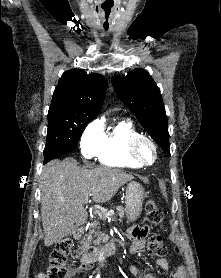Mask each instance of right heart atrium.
<instances>
[{
  "label": "right heart atrium",
  "instance_id": "obj_1",
  "mask_svg": "<svg viewBox=\"0 0 221 278\" xmlns=\"http://www.w3.org/2000/svg\"><path fill=\"white\" fill-rule=\"evenodd\" d=\"M103 134V125L98 119L85 127L80 138V150L85 159H91L96 156L103 139Z\"/></svg>",
  "mask_w": 221,
  "mask_h": 278
}]
</instances>
